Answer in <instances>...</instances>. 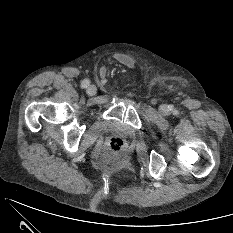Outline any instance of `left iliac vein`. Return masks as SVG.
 Returning a JSON list of instances; mask_svg holds the SVG:
<instances>
[{"instance_id":"obj_1","label":"left iliac vein","mask_w":233,"mask_h":233,"mask_svg":"<svg viewBox=\"0 0 233 233\" xmlns=\"http://www.w3.org/2000/svg\"><path fill=\"white\" fill-rule=\"evenodd\" d=\"M159 111H160V113H162L163 115H165L168 112V107L166 105H161L159 107Z\"/></svg>"}]
</instances>
